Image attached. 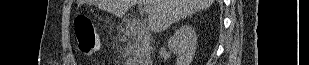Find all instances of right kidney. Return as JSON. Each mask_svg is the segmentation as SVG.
I'll return each mask as SVG.
<instances>
[{"mask_svg":"<svg viewBox=\"0 0 309 65\" xmlns=\"http://www.w3.org/2000/svg\"><path fill=\"white\" fill-rule=\"evenodd\" d=\"M197 35L187 25L181 26L168 40V48L176 55L177 65H190L195 55Z\"/></svg>","mask_w":309,"mask_h":65,"instance_id":"right-kidney-1","label":"right kidney"}]
</instances>
